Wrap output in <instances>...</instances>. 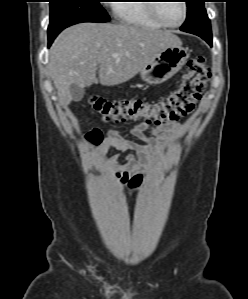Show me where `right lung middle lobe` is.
<instances>
[{
  "mask_svg": "<svg viewBox=\"0 0 248 299\" xmlns=\"http://www.w3.org/2000/svg\"><path fill=\"white\" fill-rule=\"evenodd\" d=\"M100 0H50L49 44L66 27L80 22H107Z\"/></svg>",
  "mask_w": 248,
  "mask_h": 299,
  "instance_id": "dd1d6c3e",
  "label": "right lung middle lobe"
}]
</instances>
